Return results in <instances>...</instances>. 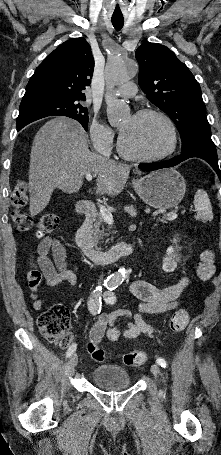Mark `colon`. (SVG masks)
Segmentation results:
<instances>
[{"label":"colon","mask_w":221,"mask_h":455,"mask_svg":"<svg viewBox=\"0 0 221 455\" xmlns=\"http://www.w3.org/2000/svg\"><path fill=\"white\" fill-rule=\"evenodd\" d=\"M27 196V182L18 180L10 198L13 207L12 218L17 227L23 232H28L35 228L37 237L52 233L58 226L59 217L54 213H45L35 221L30 214L21 211L26 204ZM214 270L215 255L209 249L204 250L196 267L198 280L208 282L212 278ZM187 323V312L185 310H177L171 317L169 325L173 332H179L186 327ZM38 328L46 339L61 345L67 344L71 339L69 311L62 304L52 305L38 318ZM88 352L96 362L104 360L103 349L93 340L88 342ZM146 361L147 355L142 351H132L124 356L125 365L130 367L143 365Z\"/></svg>","instance_id":"obj_1"}]
</instances>
